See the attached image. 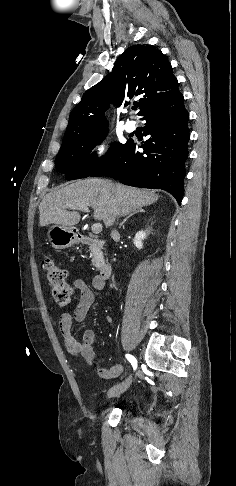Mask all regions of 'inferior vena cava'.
<instances>
[{
	"instance_id": "inferior-vena-cava-1",
	"label": "inferior vena cava",
	"mask_w": 236,
	"mask_h": 486,
	"mask_svg": "<svg viewBox=\"0 0 236 486\" xmlns=\"http://www.w3.org/2000/svg\"><path fill=\"white\" fill-rule=\"evenodd\" d=\"M115 233H117V232H116V230H113V231H112V234H115Z\"/></svg>"
}]
</instances>
